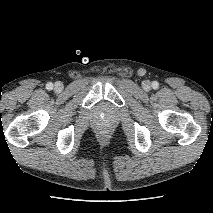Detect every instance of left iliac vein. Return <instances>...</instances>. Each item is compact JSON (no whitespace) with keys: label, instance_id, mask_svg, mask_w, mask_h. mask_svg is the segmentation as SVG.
<instances>
[{"label":"left iliac vein","instance_id":"4c4485c4","mask_svg":"<svg viewBox=\"0 0 213 213\" xmlns=\"http://www.w3.org/2000/svg\"><path fill=\"white\" fill-rule=\"evenodd\" d=\"M142 86L145 90L150 89V82L148 80L143 81Z\"/></svg>","mask_w":213,"mask_h":213}]
</instances>
